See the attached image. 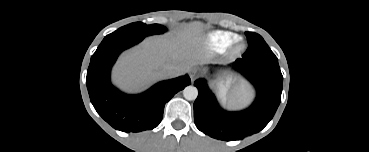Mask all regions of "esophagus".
I'll return each mask as SVG.
<instances>
[{"label": "esophagus", "instance_id": "obj_1", "mask_svg": "<svg viewBox=\"0 0 369 152\" xmlns=\"http://www.w3.org/2000/svg\"><path fill=\"white\" fill-rule=\"evenodd\" d=\"M190 76H191V78H192V79H194V78H195V76H196V71H195L194 69H192V70L190 71Z\"/></svg>", "mask_w": 369, "mask_h": 152}]
</instances>
